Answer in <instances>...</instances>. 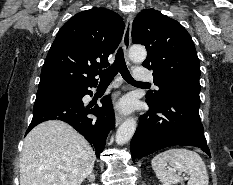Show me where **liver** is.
<instances>
[{
	"instance_id": "obj_1",
	"label": "liver",
	"mask_w": 233,
	"mask_h": 185,
	"mask_svg": "<svg viewBox=\"0 0 233 185\" xmlns=\"http://www.w3.org/2000/svg\"><path fill=\"white\" fill-rule=\"evenodd\" d=\"M95 159L91 145L70 125L43 122L24 139L20 185H81L93 172Z\"/></svg>"
}]
</instances>
